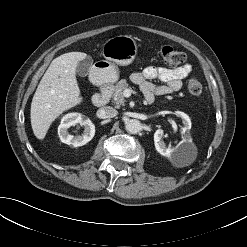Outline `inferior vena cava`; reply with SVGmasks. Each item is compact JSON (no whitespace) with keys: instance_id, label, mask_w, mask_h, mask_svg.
I'll return each mask as SVG.
<instances>
[{"instance_id":"obj_1","label":"inferior vena cava","mask_w":247,"mask_h":247,"mask_svg":"<svg viewBox=\"0 0 247 247\" xmlns=\"http://www.w3.org/2000/svg\"><path fill=\"white\" fill-rule=\"evenodd\" d=\"M99 112H100L101 116L104 118H113L118 114V111L115 108L110 107V106L102 107L99 110Z\"/></svg>"}]
</instances>
